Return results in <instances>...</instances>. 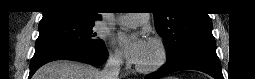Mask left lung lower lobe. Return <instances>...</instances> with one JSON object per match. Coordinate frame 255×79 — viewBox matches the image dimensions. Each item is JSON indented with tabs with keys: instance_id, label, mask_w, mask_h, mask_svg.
I'll return each mask as SVG.
<instances>
[{
	"instance_id": "left-lung-lower-lobe-1",
	"label": "left lung lower lobe",
	"mask_w": 255,
	"mask_h": 79,
	"mask_svg": "<svg viewBox=\"0 0 255 79\" xmlns=\"http://www.w3.org/2000/svg\"><path fill=\"white\" fill-rule=\"evenodd\" d=\"M180 70H199L215 79H223L215 43L193 45L178 57L168 60L157 72L147 75L145 79H159Z\"/></svg>"
}]
</instances>
